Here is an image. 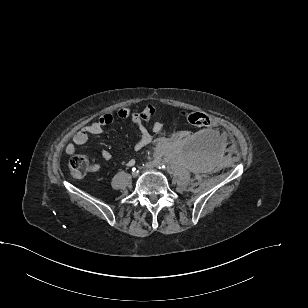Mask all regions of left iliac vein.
<instances>
[{
	"label": "left iliac vein",
	"instance_id": "left-iliac-vein-1",
	"mask_svg": "<svg viewBox=\"0 0 308 308\" xmlns=\"http://www.w3.org/2000/svg\"><path fill=\"white\" fill-rule=\"evenodd\" d=\"M146 168L149 169V170H152L154 168V165L152 164H147L146 165Z\"/></svg>",
	"mask_w": 308,
	"mask_h": 308
}]
</instances>
